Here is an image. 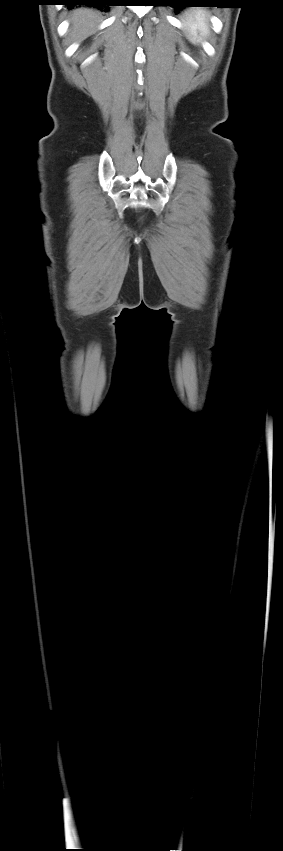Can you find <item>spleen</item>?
<instances>
[{
	"mask_svg": "<svg viewBox=\"0 0 283 851\" xmlns=\"http://www.w3.org/2000/svg\"><path fill=\"white\" fill-rule=\"evenodd\" d=\"M186 35L193 43H198V37L205 38L209 33L207 12L204 9H190L185 13Z\"/></svg>",
	"mask_w": 283,
	"mask_h": 851,
	"instance_id": "1",
	"label": "spleen"
}]
</instances>
